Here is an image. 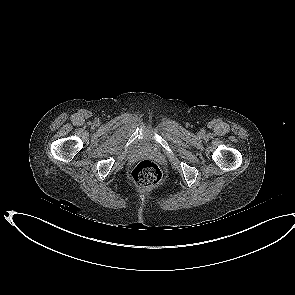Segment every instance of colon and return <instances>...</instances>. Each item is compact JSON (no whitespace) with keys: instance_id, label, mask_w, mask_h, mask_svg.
Returning a JSON list of instances; mask_svg holds the SVG:
<instances>
[{"instance_id":"1","label":"colon","mask_w":295,"mask_h":295,"mask_svg":"<svg viewBox=\"0 0 295 295\" xmlns=\"http://www.w3.org/2000/svg\"><path fill=\"white\" fill-rule=\"evenodd\" d=\"M161 177L160 168L151 160L140 161L132 171L135 184L141 188H150L157 185Z\"/></svg>"}]
</instances>
